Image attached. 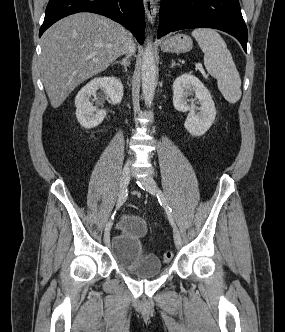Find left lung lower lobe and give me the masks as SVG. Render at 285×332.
<instances>
[{
  "instance_id": "obj_1",
  "label": "left lung lower lobe",
  "mask_w": 285,
  "mask_h": 332,
  "mask_svg": "<svg viewBox=\"0 0 285 332\" xmlns=\"http://www.w3.org/2000/svg\"><path fill=\"white\" fill-rule=\"evenodd\" d=\"M200 27L229 33L247 52V27L238 0L162 1L158 38L172 31Z\"/></svg>"
}]
</instances>
